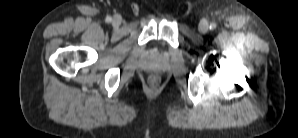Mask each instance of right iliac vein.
Listing matches in <instances>:
<instances>
[{
  "mask_svg": "<svg viewBox=\"0 0 298 138\" xmlns=\"http://www.w3.org/2000/svg\"><path fill=\"white\" fill-rule=\"evenodd\" d=\"M121 22H122V18H121L120 15H115L113 17V20H112L113 26L117 27V26H119L121 24Z\"/></svg>",
  "mask_w": 298,
  "mask_h": 138,
  "instance_id": "right-iliac-vein-1",
  "label": "right iliac vein"
}]
</instances>
